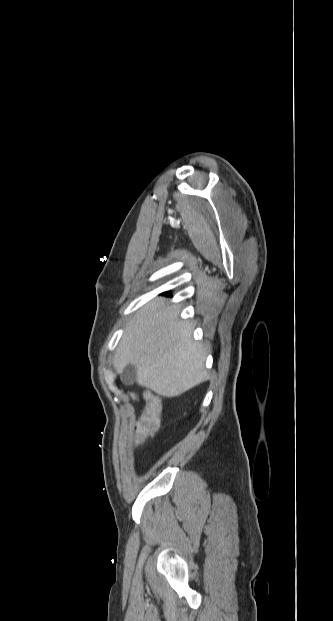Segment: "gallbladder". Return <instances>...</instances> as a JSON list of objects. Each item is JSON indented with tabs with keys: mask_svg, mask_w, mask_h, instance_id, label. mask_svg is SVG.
Returning a JSON list of instances; mask_svg holds the SVG:
<instances>
[{
	"mask_svg": "<svg viewBox=\"0 0 333 621\" xmlns=\"http://www.w3.org/2000/svg\"><path fill=\"white\" fill-rule=\"evenodd\" d=\"M136 374V367L128 364L121 372V380L125 385H132L136 380Z\"/></svg>",
	"mask_w": 333,
	"mask_h": 621,
	"instance_id": "obj_1",
	"label": "gallbladder"
}]
</instances>
